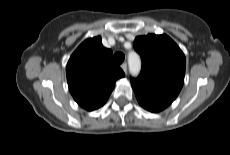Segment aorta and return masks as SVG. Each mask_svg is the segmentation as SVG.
Returning a JSON list of instances; mask_svg holds the SVG:
<instances>
[{
    "label": "aorta",
    "instance_id": "1",
    "mask_svg": "<svg viewBox=\"0 0 230 155\" xmlns=\"http://www.w3.org/2000/svg\"><path fill=\"white\" fill-rule=\"evenodd\" d=\"M128 63H129L130 72L133 75H137L141 68V61H140L139 56L135 53L129 54Z\"/></svg>",
    "mask_w": 230,
    "mask_h": 155
}]
</instances>
